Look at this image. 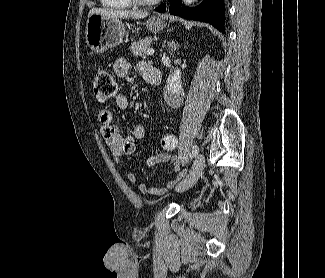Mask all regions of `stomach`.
I'll return each mask as SVG.
<instances>
[{"label":"stomach","mask_w":325,"mask_h":278,"mask_svg":"<svg viewBox=\"0 0 325 278\" xmlns=\"http://www.w3.org/2000/svg\"><path fill=\"white\" fill-rule=\"evenodd\" d=\"M165 26L164 20L159 16H152L146 22V27L151 32L160 31ZM125 33L124 24L118 18L105 17L97 13L88 17L85 38L87 46L94 53L101 54L109 48L116 47L123 42Z\"/></svg>","instance_id":"0dacf381"}]
</instances>
